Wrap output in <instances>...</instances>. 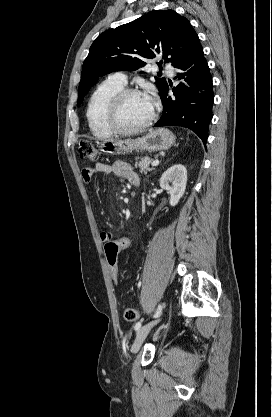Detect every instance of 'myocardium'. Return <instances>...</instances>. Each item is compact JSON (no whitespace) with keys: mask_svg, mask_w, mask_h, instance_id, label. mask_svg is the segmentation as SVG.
<instances>
[{"mask_svg":"<svg viewBox=\"0 0 272 417\" xmlns=\"http://www.w3.org/2000/svg\"><path fill=\"white\" fill-rule=\"evenodd\" d=\"M134 95L144 96V94L138 89L124 88L118 93H116L108 104L107 111H106V123L108 127L116 134L131 135V134L139 133L145 130L146 128H148L150 125H152V123L156 119L157 114H156V111L153 110L150 118L146 122H144L143 124L137 127L127 128L121 125L119 121V114H120L122 104L128 97L134 96Z\"/></svg>","mask_w":272,"mask_h":417,"instance_id":"myocardium-1","label":"myocardium"}]
</instances>
